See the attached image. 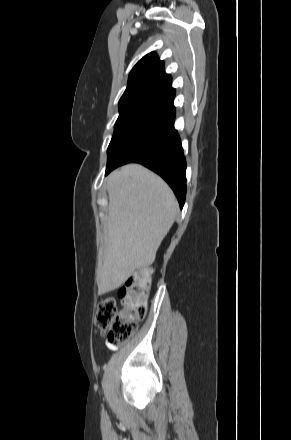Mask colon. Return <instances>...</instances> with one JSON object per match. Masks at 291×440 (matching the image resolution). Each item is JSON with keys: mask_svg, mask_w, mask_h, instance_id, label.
I'll list each match as a JSON object with an SVG mask.
<instances>
[{"mask_svg": "<svg viewBox=\"0 0 291 440\" xmlns=\"http://www.w3.org/2000/svg\"><path fill=\"white\" fill-rule=\"evenodd\" d=\"M149 288L150 270L144 269L118 290L120 309L113 298L100 302L95 325L111 342L125 343L132 337L139 321L145 318Z\"/></svg>", "mask_w": 291, "mask_h": 440, "instance_id": "colon-1", "label": "colon"}]
</instances>
